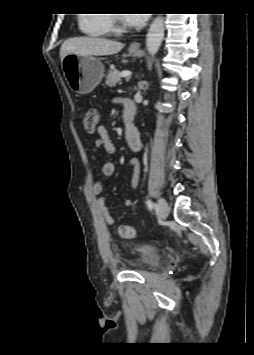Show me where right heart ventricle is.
I'll use <instances>...</instances> for the list:
<instances>
[{
	"label": "right heart ventricle",
	"mask_w": 254,
	"mask_h": 355,
	"mask_svg": "<svg viewBox=\"0 0 254 355\" xmlns=\"http://www.w3.org/2000/svg\"><path fill=\"white\" fill-rule=\"evenodd\" d=\"M112 16L106 12H90L79 17L81 31L94 38L108 37L112 34Z\"/></svg>",
	"instance_id": "obj_1"
}]
</instances>
